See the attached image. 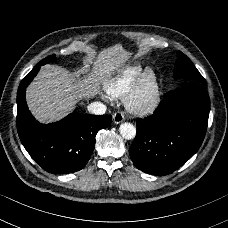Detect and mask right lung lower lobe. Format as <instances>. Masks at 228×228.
I'll return each mask as SVG.
<instances>
[{
  "mask_svg": "<svg viewBox=\"0 0 228 228\" xmlns=\"http://www.w3.org/2000/svg\"><path fill=\"white\" fill-rule=\"evenodd\" d=\"M40 67L36 65L18 88L16 125L19 138L44 170L54 174L79 171L94 150L97 132L111 124L112 116L73 113L56 123L37 122L28 110L25 89Z\"/></svg>",
  "mask_w": 228,
  "mask_h": 228,
  "instance_id": "right-lung-lower-lobe-1",
  "label": "right lung lower lobe"
}]
</instances>
